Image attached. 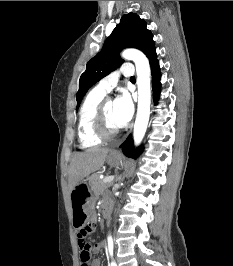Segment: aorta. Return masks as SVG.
<instances>
[{"label":"aorta","instance_id":"762f6f07","mask_svg":"<svg viewBox=\"0 0 233 266\" xmlns=\"http://www.w3.org/2000/svg\"><path fill=\"white\" fill-rule=\"evenodd\" d=\"M122 57L135 63L138 86V108L134 124L133 138L135 145H139L146 133L150 116L151 104V71L147 57L137 49H126Z\"/></svg>","mask_w":233,"mask_h":266}]
</instances>
